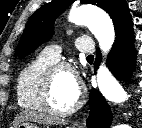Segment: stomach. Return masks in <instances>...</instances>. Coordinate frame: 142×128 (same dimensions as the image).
Here are the masks:
<instances>
[{"label":"stomach","instance_id":"0dacf381","mask_svg":"<svg viewBox=\"0 0 142 128\" xmlns=\"http://www.w3.org/2000/svg\"><path fill=\"white\" fill-rule=\"evenodd\" d=\"M14 128H39V127L34 123L23 121L21 123L14 125Z\"/></svg>","mask_w":142,"mask_h":128}]
</instances>
